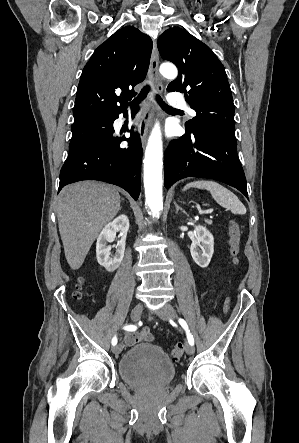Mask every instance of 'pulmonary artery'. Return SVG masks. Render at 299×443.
<instances>
[{
    "mask_svg": "<svg viewBox=\"0 0 299 443\" xmlns=\"http://www.w3.org/2000/svg\"><path fill=\"white\" fill-rule=\"evenodd\" d=\"M167 100H168L169 105L172 106L173 108L187 109V111L190 115H194L193 110L186 107V103H185V100H184V97L182 94L176 93V92L170 93L167 96Z\"/></svg>",
    "mask_w": 299,
    "mask_h": 443,
    "instance_id": "pulmonary-artery-1",
    "label": "pulmonary artery"
}]
</instances>
